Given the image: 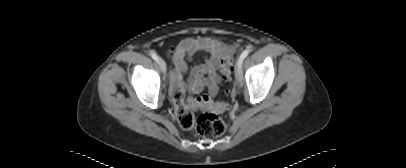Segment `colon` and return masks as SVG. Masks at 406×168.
<instances>
[{"label": "colon", "mask_w": 406, "mask_h": 168, "mask_svg": "<svg viewBox=\"0 0 406 168\" xmlns=\"http://www.w3.org/2000/svg\"><path fill=\"white\" fill-rule=\"evenodd\" d=\"M232 72L233 60L227 56L221 60L219 75L224 82L229 83ZM172 99L175 105L176 119L183 129L194 128L202 139L215 138L226 131V122L216 114L225 110L227 107L225 103H214L202 97H186L184 91L180 88L173 91ZM202 108L207 111L195 118L194 112Z\"/></svg>", "instance_id": "5ec220e1"}]
</instances>
